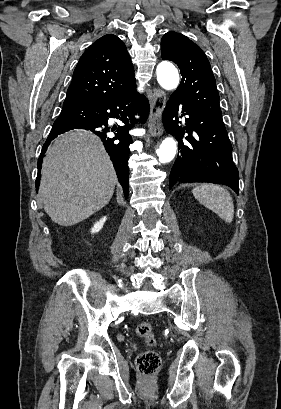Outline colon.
Returning <instances> with one entry per match:
<instances>
[{"mask_svg":"<svg viewBox=\"0 0 281 409\" xmlns=\"http://www.w3.org/2000/svg\"><path fill=\"white\" fill-rule=\"evenodd\" d=\"M136 333L145 339V342L148 346L156 345V337L153 332V327L148 323H139L136 326ZM160 365V357L154 351L143 352L137 359L138 369L145 373L151 374L155 371Z\"/></svg>","mask_w":281,"mask_h":409,"instance_id":"obj_1","label":"colon"}]
</instances>
